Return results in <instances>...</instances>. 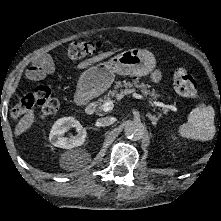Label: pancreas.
Wrapping results in <instances>:
<instances>
[{"label":"pancreas","mask_w":221,"mask_h":221,"mask_svg":"<svg viewBox=\"0 0 221 221\" xmlns=\"http://www.w3.org/2000/svg\"><path fill=\"white\" fill-rule=\"evenodd\" d=\"M134 88L141 89V92L145 96H150L153 99H157L159 97V95L156 94L154 90L152 91L148 90L147 85L140 83L138 79L134 80L133 82L118 81L116 82V85L114 86L112 90H110L106 95L103 96V98H100L97 101L98 107H97L96 113L100 114L103 111L102 105L105 102L112 101L113 98L120 99L124 95H127L133 92Z\"/></svg>","instance_id":"cf45deb5"}]
</instances>
